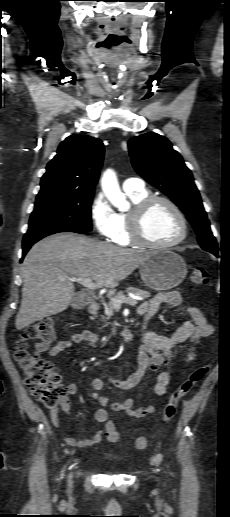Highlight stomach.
<instances>
[{
	"label": "stomach",
	"mask_w": 230,
	"mask_h": 517,
	"mask_svg": "<svg viewBox=\"0 0 230 517\" xmlns=\"http://www.w3.org/2000/svg\"><path fill=\"white\" fill-rule=\"evenodd\" d=\"M139 271L146 286L156 291H167L182 283L187 275V266L179 254L155 250L140 265Z\"/></svg>",
	"instance_id": "0dacf381"
}]
</instances>
